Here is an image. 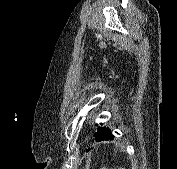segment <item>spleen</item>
<instances>
[{
  "mask_svg": "<svg viewBox=\"0 0 177 169\" xmlns=\"http://www.w3.org/2000/svg\"><path fill=\"white\" fill-rule=\"evenodd\" d=\"M101 169H107V168L103 167V168H101ZM118 169H125V168H123V167H119Z\"/></svg>",
  "mask_w": 177,
  "mask_h": 169,
  "instance_id": "obj_1",
  "label": "spleen"
}]
</instances>
